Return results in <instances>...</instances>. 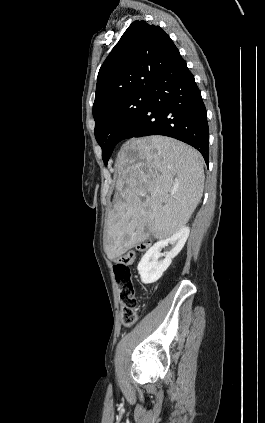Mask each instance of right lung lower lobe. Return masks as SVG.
<instances>
[{"instance_id": "obj_1", "label": "right lung lower lobe", "mask_w": 265, "mask_h": 423, "mask_svg": "<svg viewBox=\"0 0 265 423\" xmlns=\"http://www.w3.org/2000/svg\"><path fill=\"white\" fill-rule=\"evenodd\" d=\"M165 135L196 148L209 163L206 108L194 76L178 53L150 89V99L126 128L120 141L132 137Z\"/></svg>"}]
</instances>
